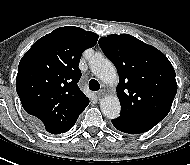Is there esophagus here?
Instances as JSON below:
<instances>
[{
    "instance_id": "esophagus-1",
    "label": "esophagus",
    "mask_w": 190,
    "mask_h": 165,
    "mask_svg": "<svg viewBox=\"0 0 190 165\" xmlns=\"http://www.w3.org/2000/svg\"><path fill=\"white\" fill-rule=\"evenodd\" d=\"M106 95V91L104 89H101L100 91L97 92L98 98H102Z\"/></svg>"
}]
</instances>
